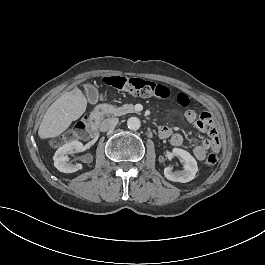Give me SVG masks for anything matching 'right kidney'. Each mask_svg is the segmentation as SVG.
<instances>
[{
    "label": "right kidney",
    "mask_w": 265,
    "mask_h": 265,
    "mask_svg": "<svg viewBox=\"0 0 265 265\" xmlns=\"http://www.w3.org/2000/svg\"><path fill=\"white\" fill-rule=\"evenodd\" d=\"M76 151L82 152L84 151L83 144L79 141H73L63 146L59 147L53 156L54 166L63 173H73L80 169H82L81 164H70L68 163L69 157L68 153Z\"/></svg>",
    "instance_id": "obj_1"
}]
</instances>
